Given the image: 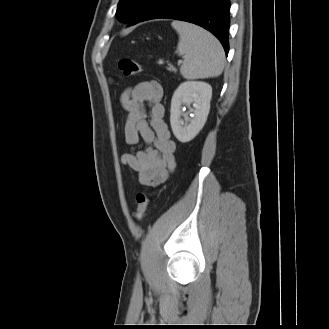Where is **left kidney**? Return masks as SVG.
<instances>
[{"mask_svg":"<svg viewBox=\"0 0 329 329\" xmlns=\"http://www.w3.org/2000/svg\"><path fill=\"white\" fill-rule=\"evenodd\" d=\"M212 87L203 81H185L173 94L170 110V124L175 137L182 143L191 141L203 128L210 110ZM194 105L191 118L182 114V104ZM184 115L185 122L181 120Z\"/></svg>","mask_w":329,"mask_h":329,"instance_id":"obj_1","label":"left kidney"}]
</instances>
